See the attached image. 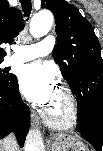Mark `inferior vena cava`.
Segmentation results:
<instances>
[{"mask_svg":"<svg viewBox=\"0 0 103 151\" xmlns=\"http://www.w3.org/2000/svg\"><path fill=\"white\" fill-rule=\"evenodd\" d=\"M16 144V139L13 134L8 135L4 140L1 142V151H10V146Z\"/></svg>","mask_w":103,"mask_h":151,"instance_id":"obj_1","label":"inferior vena cava"}]
</instances>
